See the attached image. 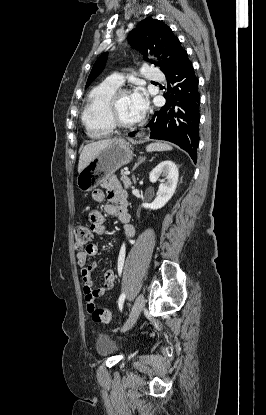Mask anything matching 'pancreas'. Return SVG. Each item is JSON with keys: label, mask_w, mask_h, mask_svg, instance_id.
I'll return each instance as SVG.
<instances>
[{"label": "pancreas", "mask_w": 266, "mask_h": 415, "mask_svg": "<svg viewBox=\"0 0 266 415\" xmlns=\"http://www.w3.org/2000/svg\"><path fill=\"white\" fill-rule=\"evenodd\" d=\"M121 181L125 188H129L131 186L130 178L124 172H121Z\"/></svg>", "instance_id": "pancreas-1"}]
</instances>
